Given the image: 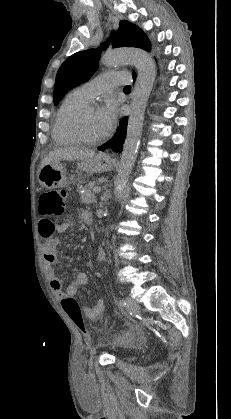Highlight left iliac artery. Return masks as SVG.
I'll use <instances>...</instances> for the list:
<instances>
[{"mask_svg":"<svg viewBox=\"0 0 231 419\" xmlns=\"http://www.w3.org/2000/svg\"><path fill=\"white\" fill-rule=\"evenodd\" d=\"M119 304H120L121 307H124V306L127 305V301L122 299V300H120Z\"/></svg>","mask_w":231,"mask_h":419,"instance_id":"left-iliac-artery-1","label":"left iliac artery"}]
</instances>
